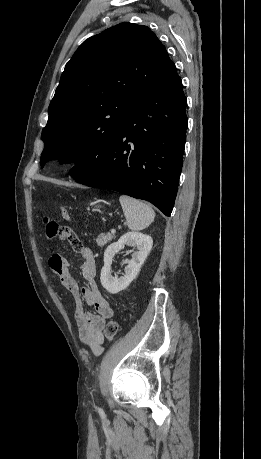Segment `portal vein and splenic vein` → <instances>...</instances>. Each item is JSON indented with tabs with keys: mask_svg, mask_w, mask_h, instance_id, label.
I'll return each instance as SVG.
<instances>
[{
	"mask_svg": "<svg viewBox=\"0 0 261 459\" xmlns=\"http://www.w3.org/2000/svg\"><path fill=\"white\" fill-rule=\"evenodd\" d=\"M111 233H112V234H115V233H116V230H115V229H111Z\"/></svg>",
	"mask_w": 261,
	"mask_h": 459,
	"instance_id": "portal-vein-and-splenic-vein-1",
	"label": "portal vein and splenic vein"
}]
</instances>
